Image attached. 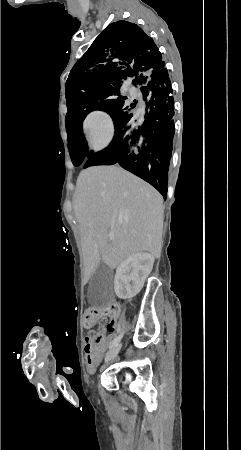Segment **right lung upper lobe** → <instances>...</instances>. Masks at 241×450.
<instances>
[{
	"label": "right lung upper lobe",
	"instance_id": "obj_1",
	"mask_svg": "<svg viewBox=\"0 0 241 450\" xmlns=\"http://www.w3.org/2000/svg\"><path fill=\"white\" fill-rule=\"evenodd\" d=\"M165 66L153 39L139 26L126 21L110 24L72 68L92 85L118 89L128 78L140 86V77Z\"/></svg>",
	"mask_w": 241,
	"mask_h": 450
}]
</instances>
